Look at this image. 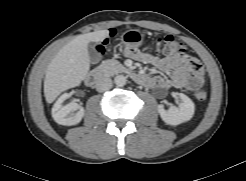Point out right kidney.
<instances>
[{"label":"right kidney","instance_id":"1","mask_svg":"<svg viewBox=\"0 0 246 181\" xmlns=\"http://www.w3.org/2000/svg\"><path fill=\"white\" fill-rule=\"evenodd\" d=\"M68 98V94H63L58 98L52 108V117L60 125L72 126L78 124L84 116V108L76 102H71L65 106L62 103ZM78 110L76 113L74 111Z\"/></svg>","mask_w":246,"mask_h":181}]
</instances>
